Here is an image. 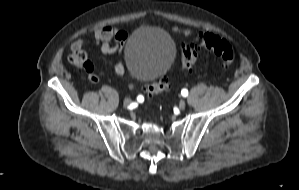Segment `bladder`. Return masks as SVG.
<instances>
[{
	"mask_svg": "<svg viewBox=\"0 0 299 190\" xmlns=\"http://www.w3.org/2000/svg\"><path fill=\"white\" fill-rule=\"evenodd\" d=\"M176 49L171 37L162 30L141 28L124 47V60L131 77L153 82L171 66Z\"/></svg>",
	"mask_w": 299,
	"mask_h": 190,
	"instance_id": "obj_1",
	"label": "bladder"
}]
</instances>
